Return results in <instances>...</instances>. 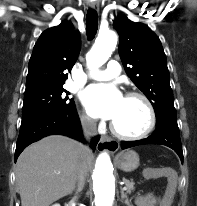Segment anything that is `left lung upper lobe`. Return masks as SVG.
Returning <instances> with one entry per match:
<instances>
[{"instance_id": "obj_1", "label": "left lung upper lobe", "mask_w": 197, "mask_h": 206, "mask_svg": "<svg viewBox=\"0 0 197 206\" xmlns=\"http://www.w3.org/2000/svg\"><path fill=\"white\" fill-rule=\"evenodd\" d=\"M120 36L119 55L127 75L146 95L156 114V128L177 125L166 55L156 34L145 24L125 16L114 20Z\"/></svg>"}]
</instances>
